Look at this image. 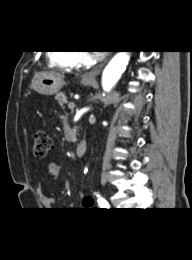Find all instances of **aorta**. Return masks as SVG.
<instances>
[{
    "instance_id": "1",
    "label": "aorta",
    "mask_w": 192,
    "mask_h": 260,
    "mask_svg": "<svg viewBox=\"0 0 192 260\" xmlns=\"http://www.w3.org/2000/svg\"><path fill=\"white\" fill-rule=\"evenodd\" d=\"M130 60L128 52H118L107 64L102 74V88L109 92L124 73Z\"/></svg>"
}]
</instances>
